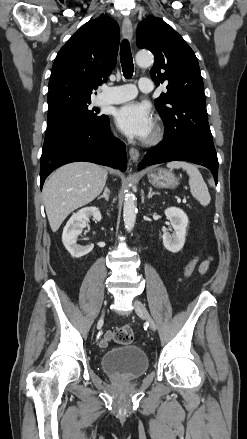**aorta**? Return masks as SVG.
Instances as JSON below:
<instances>
[{
  "label": "aorta",
  "instance_id": "1",
  "mask_svg": "<svg viewBox=\"0 0 247 439\" xmlns=\"http://www.w3.org/2000/svg\"><path fill=\"white\" fill-rule=\"evenodd\" d=\"M154 62V57L150 52H139L136 55V63L141 67H148ZM137 206L135 196L131 192H126L124 196L123 220L125 229L131 231L136 222Z\"/></svg>",
  "mask_w": 247,
  "mask_h": 439
}]
</instances>
